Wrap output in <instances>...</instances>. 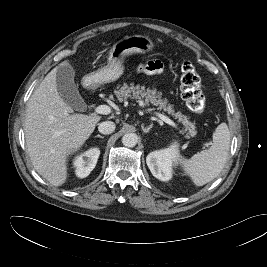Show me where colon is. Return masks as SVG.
I'll return each instance as SVG.
<instances>
[{
	"label": "colon",
	"mask_w": 267,
	"mask_h": 267,
	"mask_svg": "<svg viewBox=\"0 0 267 267\" xmlns=\"http://www.w3.org/2000/svg\"><path fill=\"white\" fill-rule=\"evenodd\" d=\"M180 90L183 100L192 112H204L206 99L201 91L200 78L194 65L189 61L184 62L181 67Z\"/></svg>",
	"instance_id": "5ec220e1"
}]
</instances>
